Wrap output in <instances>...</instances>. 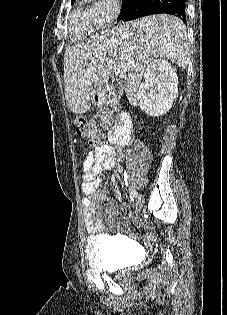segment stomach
<instances>
[{
  "label": "stomach",
  "instance_id": "stomach-1",
  "mask_svg": "<svg viewBox=\"0 0 227 315\" xmlns=\"http://www.w3.org/2000/svg\"><path fill=\"white\" fill-rule=\"evenodd\" d=\"M91 97H92V99H94L96 97V91L95 90L92 92Z\"/></svg>",
  "mask_w": 227,
  "mask_h": 315
}]
</instances>
